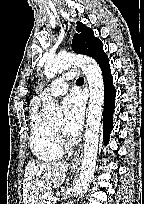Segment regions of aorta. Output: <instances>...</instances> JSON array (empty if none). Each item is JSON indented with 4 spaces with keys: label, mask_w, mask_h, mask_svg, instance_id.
<instances>
[{
    "label": "aorta",
    "mask_w": 144,
    "mask_h": 204,
    "mask_svg": "<svg viewBox=\"0 0 144 204\" xmlns=\"http://www.w3.org/2000/svg\"><path fill=\"white\" fill-rule=\"evenodd\" d=\"M72 65L81 67L87 78L90 91L84 156L75 194L77 197H82L93 179L96 166L100 124L104 104V83L101 69L94 59L70 53H60L56 57L49 59L44 67V75L47 79H52L55 75ZM43 114L49 120H57L62 117L61 109L52 98L46 99Z\"/></svg>",
    "instance_id": "aorta-1"
}]
</instances>
